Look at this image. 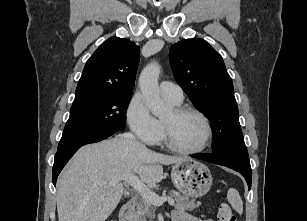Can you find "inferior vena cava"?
<instances>
[{
  "label": "inferior vena cava",
  "mask_w": 307,
  "mask_h": 221,
  "mask_svg": "<svg viewBox=\"0 0 307 221\" xmlns=\"http://www.w3.org/2000/svg\"><path fill=\"white\" fill-rule=\"evenodd\" d=\"M122 137L130 140H135V137L131 133H125L122 135Z\"/></svg>",
  "instance_id": "1"
}]
</instances>
